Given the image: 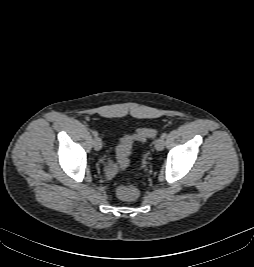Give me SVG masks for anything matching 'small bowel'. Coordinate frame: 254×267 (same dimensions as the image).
I'll list each match as a JSON object with an SVG mask.
<instances>
[{
	"label": "small bowel",
	"instance_id": "1",
	"mask_svg": "<svg viewBox=\"0 0 254 267\" xmlns=\"http://www.w3.org/2000/svg\"><path fill=\"white\" fill-rule=\"evenodd\" d=\"M114 174H115V169H114V167H112V166L108 167V169H107V175H108L109 177H111V176H113Z\"/></svg>",
	"mask_w": 254,
	"mask_h": 267
}]
</instances>
